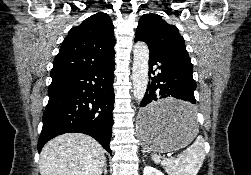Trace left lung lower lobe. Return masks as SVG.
I'll return each mask as SVG.
<instances>
[{
    "instance_id": "1",
    "label": "left lung lower lobe",
    "mask_w": 251,
    "mask_h": 175,
    "mask_svg": "<svg viewBox=\"0 0 251 175\" xmlns=\"http://www.w3.org/2000/svg\"><path fill=\"white\" fill-rule=\"evenodd\" d=\"M154 65H158L155 71L152 70ZM192 73L191 65L150 51L149 75L154 76L150 77V83L140 104L143 108L139 114L140 123L144 126H153L194 119L197 115L196 107L193 106L196 83ZM171 97L188 103L175 106L154 105L157 100Z\"/></svg>"
}]
</instances>
